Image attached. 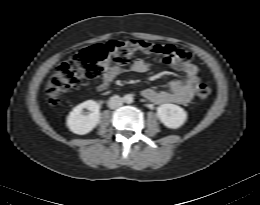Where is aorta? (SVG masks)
Masks as SVG:
<instances>
[{
    "mask_svg": "<svg viewBox=\"0 0 260 205\" xmlns=\"http://www.w3.org/2000/svg\"><path fill=\"white\" fill-rule=\"evenodd\" d=\"M124 101L126 103H132L133 102V96L131 94H128L124 97Z\"/></svg>",
    "mask_w": 260,
    "mask_h": 205,
    "instance_id": "aorta-1",
    "label": "aorta"
}]
</instances>
